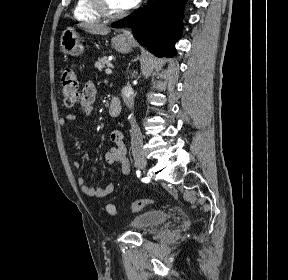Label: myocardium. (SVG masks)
<instances>
[{
    "label": "myocardium",
    "instance_id": "1",
    "mask_svg": "<svg viewBox=\"0 0 288 280\" xmlns=\"http://www.w3.org/2000/svg\"><path fill=\"white\" fill-rule=\"evenodd\" d=\"M94 11L102 18L117 19L124 15L123 11L112 12L108 9L106 0H90Z\"/></svg>",
    "mask_w": 288,
    "mask_h": 280
}]
</instances>
